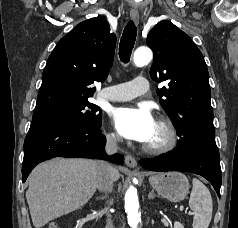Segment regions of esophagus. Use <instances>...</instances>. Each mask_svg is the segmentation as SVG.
Returning <instances> with one entry per match:
<instances>
[{
  "mask_svg": "<svg viewBox=\"0 0 238 228\" xmlns=\"http://www.w3.org/2000/svg\"><path fill=\"white\" fill-rule=\"evenodd\" d=\"M130 17L134 21L135 24L139 23L140 17H139V11L137 10V8L131 9ZM125 163L127 166L131 168H135L137 166L136 159L132 155H129V154L125 156Z\"/></svg>",
  "mask_w": 238,
  "mask_h": 228,
  "instance_id": "obj_1",
  "label": "esophagus"
}]
</instances>
